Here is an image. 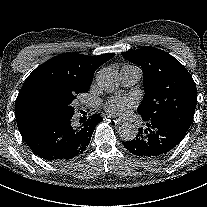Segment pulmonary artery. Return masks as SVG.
<instances>
[{
  "label": "pulmonary artery",
  "mask_w": 207,
  "mask_h": 207,
  "mask_svg": "<svg viewBox=\"0 0 207 207\" xmlns=\"http://www.w3.org/2000/svg\"><path fill=\"white\" fill-rule=\"evenodd\" d=\"M120 75L123 83L126 86L134 85L141 76V71L138 67L135 66H123Z\"/></svg>",
  "instance_id": "e3ab8cb5"
}]
</instances>
